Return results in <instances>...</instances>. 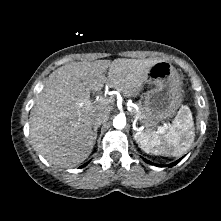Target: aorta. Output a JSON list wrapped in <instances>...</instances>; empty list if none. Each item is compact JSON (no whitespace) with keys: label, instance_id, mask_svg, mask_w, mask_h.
<instances>
[{"label":"aorta","instance_id":"762f6f07","mask_svg":"<svg viewBox=\"0 0 221 221\" xmlns=\"http://www.w3.org/2000/svg\"><path fill=\"white\" fill-rule=\"evenodd\" d=\"M113 126L116 129H122L126 126V118L124 115H117L114 119H113Z\"/></svg>","mask_w":221,"mask_h":221}]
</instances>
